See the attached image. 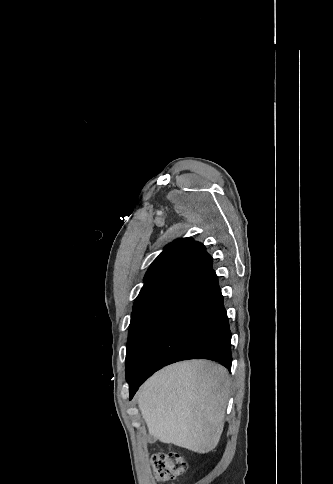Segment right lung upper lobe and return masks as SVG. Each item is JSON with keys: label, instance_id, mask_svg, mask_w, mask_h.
<instances>
[{"label": "right lung upper lobe", "instance_id": "right-lung-upper-lobe-1", "mask_svg": "<svg viewBox=\"0 0 333 484\" xmlns=\"http://www.w3.org/2000/svg\"><path fill=\"white\" fill-rule=\"evenodd\" d=\"M212 268V258L203 244L182 238L166 246L153 261L133 309L152 300L165 298Z\"/></svg>", "mask_w": 333, "mask_h": 484}]
</instances>
